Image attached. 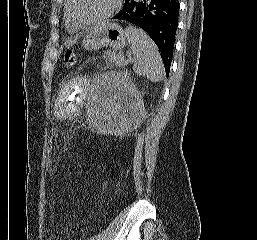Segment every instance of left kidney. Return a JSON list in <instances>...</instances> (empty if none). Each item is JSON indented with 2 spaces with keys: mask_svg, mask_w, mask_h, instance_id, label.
Masks as SVG:
<instances>
[{
  "mask_svg": "<svg viewBox=\"0 0 257 240\" xmlns=\"http://www.w3.org/2000/svg\"><path fill=\"white\" fill-rule=\"evenodd\" d=\"M87 112L97 133L124 135L141 123L144 103L127 74L111 71L94 81Z\"/></svg>",
  "mask_w": 257,
  "mask_h": 240,
  "instance_id": "obj_1",
  "label": "left kidney"
}]
</instances>
